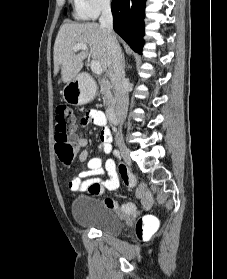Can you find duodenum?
<instances>
[{
	"instance_id": "duodenum-1",
	"label": "duodenum",
	"mask_w": 227,
	"mask_h": 279,
	"mask_svg": "<svg viewBox=\"0 0 227 279\" xmlns=\"http://www.w3.org/2000/svg\"><path fill=\"white\" fill-rule=\"evenodd\" d=\"M89 101L85 102V103H88ZM107 116H108V119L111 123L113 124H117L119 119H118V113H117V110L116 109H113V108H110L108 111H107Z\"/></svg>"
}]
</instances>
